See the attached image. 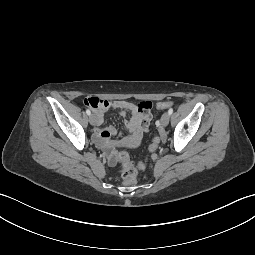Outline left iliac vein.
Instances as JSON below:
<instances>
[{"mask_svg": "<svg viewBox=\"0 0 255 255\" xmlns=\"http://www.w3.org/2000/svg\"><path fill=\"white\" fill-rule=\"evenodd\" d=\"M170 115L168 112H165L161 117V124L163 127H166L169 124Z\"/></svg>", "mask_w": 255, "mask_h": 255, "instance_id": "left-iliac-vein-1", "label": "left iliac vein"}]
</instances>
